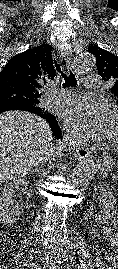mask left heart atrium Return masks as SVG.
Wrapping results in <instances>:
<instances>
[{"mask_svg":"<svg viewBox=\"0 0 118 269\" xmlns=\"http://www.w3.org/2000/svg\"><path fill=\"white\" fill-rule=\"evenodd\" d=\"M112 111L103 101H79L64 113L67 128L81 139H102L107 135Z\"/></svg>","mask_w":118,"mask_h":269,"instance_id":"left-heart-atrium-1","label":"left heart atrium"}]
</instances>
